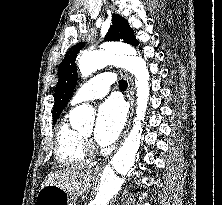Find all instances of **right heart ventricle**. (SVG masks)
Segmentation results:
<instances>
[{"instance_id":"right-heart-ventricle-1","label":"right heart ventricle","mask_w":222,"mask_h":205,"mask_svg":"<svg viewBox=\"0 0 222 205\" xmlns=\"http://www.w3.org/2000/svg\"><path fill=\"white\" fill-rule=\"evenodd\" d=\"M55 154L58 162L66 167H81L88 160L85 142L66 117L57 127Z\"/></svg>"}]
</instances>
